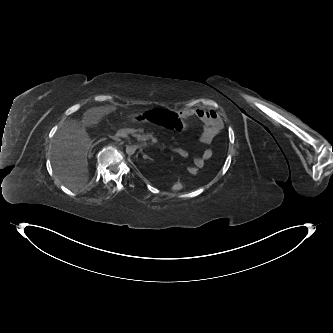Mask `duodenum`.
Masks as SVG:
<instances>
[{"label": "duodenum", "mask_w": 333, "mask_h": 333, "mask_svg": "<svg viewBox=\"0 0 333 333\" xmlns=\"http://www.w3.org/2000/svg\"><path fill=\"white\" fill-rule=\"evenodd\" d=\"M127 133H133V128H123L121 130L116 131V136H122Z\"/></svg>", "instance_id": "1"}]
</instances>
